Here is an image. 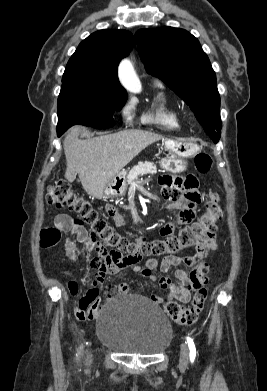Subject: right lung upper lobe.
<instances>
[{
  "label": "right lung upper lobe",
  "instance_id": "right-lung-upper-lobe-1",
  "mask_svg": "<svg viewBox=\"0 0 267 391\" xmlns=\"http://www.w3.org/2000/svg\"><path fill=\"white\" fill-rule=\"evenodd\" d=\"M133 45L134 38L129 31L106 29L94 32L79 44L67 63L62 80L90 77L124 89L118 80L117 67Z\"/></svg>",
  "mask_w": 267,
  "mask_h": 391
}]
</instances>
